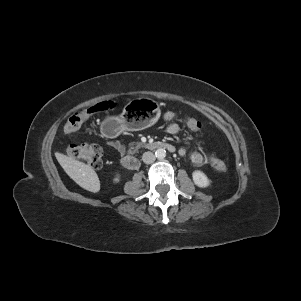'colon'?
Here are the masks:
<instances>
[{"label": "colon", "instance_id": "5ec220e1", "mask_svg": "<svg viewBox=\"0 0 301 301\" xmlns=\"http://www.w3.org/2000/svg\"><path fill=\"white\" fill-rule=\"evenodd\" d=\"M115 107V103L112 101H101L91 105L83 111L75 112L71 115L64 126V133L67 136L73 135L83 122L90 116L98 112L106 111ZM160 110V108H159ZM164 117L168 119H175L177 114L172 112L171 109L163 105L161 107ZM186 125L194 132H200L202 128L201 122L193 117H188L185 120ZM65 153L72 158L85 162L89 166L95 169H99L103 165V151L101 147L95 144H72L65 149ZM208 163L217 171H225L226 165L223 161L214 157H207Z\"/></svg>", "mask_w": 301, "mask_h": 301}]
</instances>
